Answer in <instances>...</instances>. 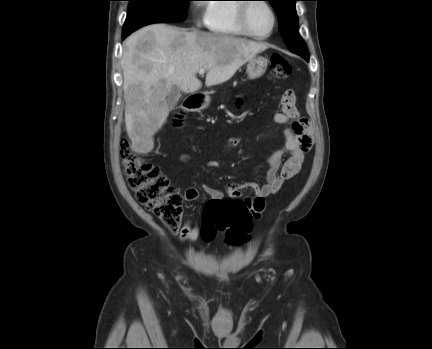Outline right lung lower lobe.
Here are the masks:
<instances>
[{"label":"right lung lower lobe","instance_id":"obj_1","mask_svg":"<svg viewBox=\"0 0 432 349\" xmlns=\"http://www.w3.org/2000/svg\"><path fill=\"white\" fill-rule=\"evenodd\" d=\"M128 35H129V34H123V35H122V38L124 39V38H126Z\"/></svg>","mask_w":432,"mask_h":349}]
</instances>
